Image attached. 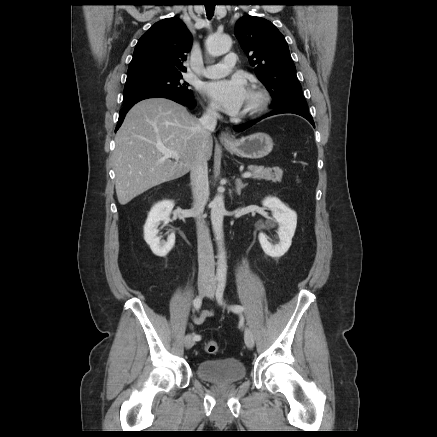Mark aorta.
Here are the masks:
<instances>
[{
  "label": "aorta",
  "mask_w": 437,
  "mask_h": 437,
  "mask_svg": "<svg viewBox=\"0 0 437 437\" xmlns=\"http://www.w3.org/2000/svg\"><path fill=\"white\" fill-rule=\"evenodd\" d=\"M232 46V39L229 35H211L206 40V49L214 57L227 53ZM211 223L215 240L218 247L217 254V276L226 277L227 262L224 248L223 219L225 215V204L223 190H220L210 204Z\"/></svg>",
  "instance_id": "762f6f07"
}]
</instances>
